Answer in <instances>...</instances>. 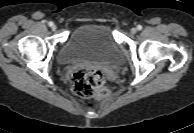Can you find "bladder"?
I'll use <instances>...</instances> for the list:
<instances>
[{
    "mask_svg": "<svg viewBox=\"0 0 194 133\" xmlns=\"http://www.w3.org/2000/svg\"><path fill=\"white\" fill-rule=\"evenodd\" d=\"M58 59L69 64L94 62L116 64L122 59V52L112 29L105 23H85L77 27L63 44Z\"/></svg>",
    "mask_w": 194,
    "mask_h": 133,
    "instance_id": "1",
    "label": "bladder"
}]
</instances>
